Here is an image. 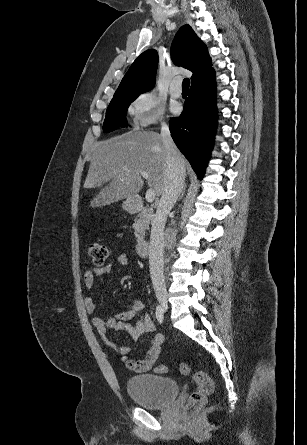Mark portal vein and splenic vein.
I'll return each instance as SVG.
<instances>
[{"instance_id": "obj_1", "label": "portal vein and splenic vein", "mask_w": 307, "mask_h": 445, "mask_svg": "<svg viewBox=\"0 0 307 445\" xmlns=\"http://www.w3.org/2000/svg\"><path fill=\"white\" fill-rule=\"evenodd\" d=\"M125 170H126V172H130V170H128V168H125ZM140 174H141V176H143V178H149V176H150V174H148V172H145V170H140ZM145 198H146L147 202H153V200H155V192H154L153 188H147Z\"/></svg>"}]
</instances>
